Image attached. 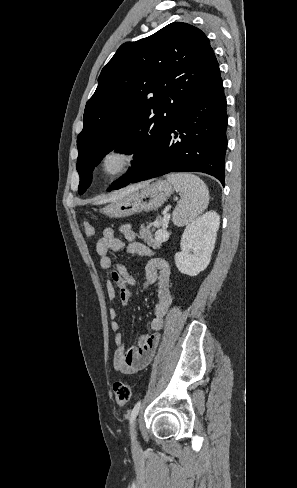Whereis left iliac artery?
Wrapping results in <instances>:
<instances>
[{
  "label": "left iliac artery",
  "mask_w": 297,
  "mask_h": 488,
  "mask_svg": "<svg viewBox=\"0 0 297 488\" xmlns=\"http://www.w3.org/2000/svg\"><path fill=\"white\" fill-rule=\"evenodd\" d=\"M141 407V401H138L135 406L133 407L132 411H131V415H130V424L132 425L135 418L137 417L138 413H139V409Z\"/></svg>",
  "instance_id": "44dca946"
}]
</instances>
